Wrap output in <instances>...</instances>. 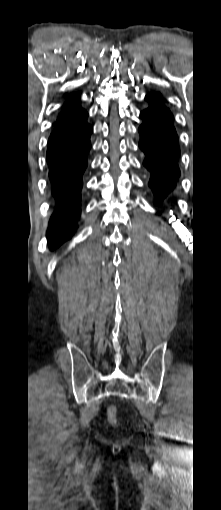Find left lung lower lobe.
<instances>
[{"mask_svg": "<svg viewBox=\"0 0 221 510\" xmlns=\"http://www.w3.org/2000/svg\"><path fill=\"white\" fill-rule=\"evenodd\" d=\"M140 116L143 123L138 129L141 137L139 147L146 155L143 165L150 172V188L155 197L162 201L175 187L180 175L177 134L144 111Z\"/></svg>", "mask_w": 221, "mask_h": 510, "instance_id": "obj_1", "label": "left lung lower lobe"}]
</instances>
